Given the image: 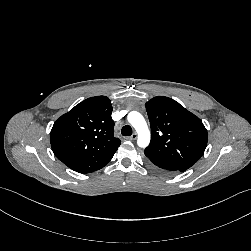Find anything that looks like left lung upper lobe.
Listing matches in <instances>:
<instances>
[{
  "mask_svg": "<svg viewBox=\"0 0 251 251\" xmlns=\"http://www.w3.org/2000/svg\"><path fill=\"white\" fill-rule=\"evenodd\" d=\"M145 106L151 142L144 153L150 163L181 172L190 168L207 145V130L202 121L168 97H154Z\"/></svg>",
  "mask_w": 251,
  "mask_h": 251,
  "instance_id": "5c2ea615",
  "label": "left lung upper lobe"
}]
</instances>
